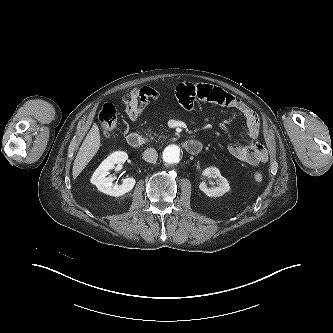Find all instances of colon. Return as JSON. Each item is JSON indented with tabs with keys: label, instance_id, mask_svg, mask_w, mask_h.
<instances>
[{
	"label": "colon",
	"instance_id": "colon-1",
	"mask_svg": "<svg viewBox=\"0 0 333 333\" xmlns=\"http://www.w3.org/2000/svg\"><path fill=\"white\" fill-rule=\"evenodd\" d=\"M98 122L106 136L113 135L117 127L116 108L110 103L104 104L98 114ZM253 180L260 183L263 181V175L256 172L253 175Z\"/></svg>",
	"mask_w": 333,
	"mask_h": 333
}]
</instances>
